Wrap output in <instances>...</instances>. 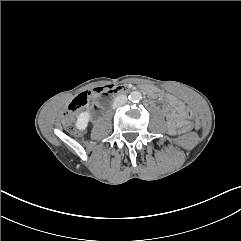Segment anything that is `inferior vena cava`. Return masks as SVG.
<instances>
[{
  "mask_svg": "<svg viewBox=\"0 0 241 241\" xmlns=\"http://www.w3.org/2000/svg\"><path fill=\"white\" fill-rule=\"evenodd\" d=\"M127 102V97L126 95H119L115 98L114 102H113V108H117L120 106H123L124 104H126Z\"/></svg>",
  "mask_w": 241,
  "mask_h": 241,
  "instance_id": "602c4592",
  "label": "inferior vena cava"
}]
</instances>
